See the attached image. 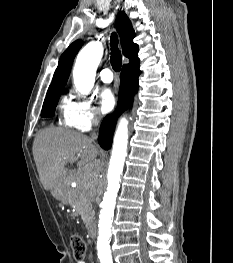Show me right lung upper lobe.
Returning <instances> with one entry per match:
<instances>
[{
	"mask_svg": "<svg viewBox=\"0 0 233 263\" xmlns=\"http://www.w3.org/2000/svg\"><path fill=\"white\" fill-rule=\"evenodd\" d=\"M116 28L121 38L123 55L129 58L130 63L138 61V45L133 43L135 32L132 29L129 18L124 12H121L118 16L116 20ZM82 44L83 42L81 40L73 42L61 55L58 67L53 76L52 84L49 86L48 91L62 87L64 88L67 83L75 55L81 48Z\"/></svg>",
	"mask_w": 233,
	"mask_h": 263,
	"instance_id": "right-lung-upper-lobe-1",
	"label": "right lung upper lobe"
}]
</instances>
